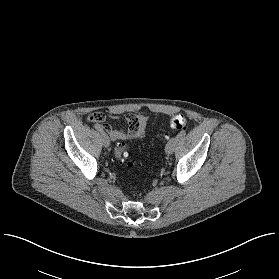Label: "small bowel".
Here are the masks:
<instances>
[{
    "mask_svg": "<svg viewBox=\"0 0 279 279\" xmlns=\"http://www.w3.org/2000/svg\"><path fill=\"white\" fill-rule=\"evenodd\" d=\"M100 116L103 118L100 119ZM109 117L118 118L115 114H110ZM107 115L103 113H92L88 116L90 123L100 124L101 127L108 133L113 141L137 139L143 136L146 128V118L142 115H129L126 117L127 129L112 128L106 123Z\"/></svg>",
    "mask_w": 279,
    "mask_h": 279,
    "instance_id": "obj_1",
    "label": "small bowel"
}]
</instances>
